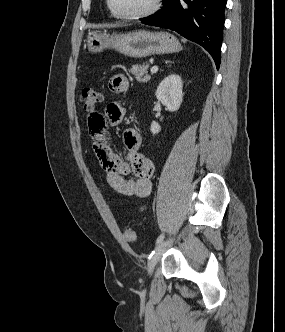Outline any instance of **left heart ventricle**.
<instances>
[{
	"instance_id": "left-heart-ventricle-1",
	"label": "left heart ventricle",
	"mask_w": 285,
	"mask_h": 332,
	"mask_svg": "<svg viewBox=\"0 0 285 332\" xmlns=\"http://www.w3.org/2000/svg\"><path fill=\"white\" fill-rule=\"evenodd\" d=\"M113 8L120 14L132 15L148 10L154 0H111Z\"/></svg>"
}]
</instances>
